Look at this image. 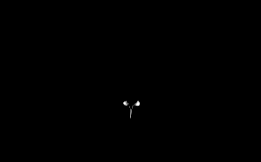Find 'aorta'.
I'll return each mask as SVG.
<instances>
[{"instance_id":"762f6f07","label":"aorta","mask_w":261,"mask_h":162,"mask_svg":"<svg viewBox=\"0 0 261 162\" xmlns=\"http://www.w3.org/2000/svg\"><path fill=\"white\" fill-rule=\"evenodd\" d=\"M136 63L139 66H144L146 64V61L143 57H140V58L137 59Z\"/></svg>"}]
</instances>
